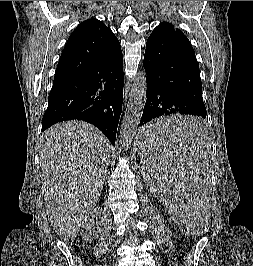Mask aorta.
<instances>
[{"label":"aorta","mask_w":253,"mask_h":266,"mask_svg":"<svg viewBox=\"0 0 253 266\" xmlns=\"http://www.w3.org/2000/svg\"><path fill=\"white\" fill-rule=\"evenodd\" d=\"M147 77L144 70L139 71L133 82L129 103L120 130V144L128 148L136 135L137 127L146 102Z\"/></svg>","instance_id":"762f6f07"}]
</instances>
